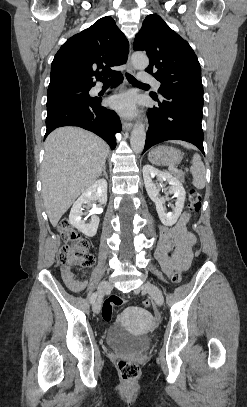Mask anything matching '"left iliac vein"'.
I'll return each mask as SVG.
<instances>
[{"label":"left iliac vein","mask_w":247,"mask_h":407,"mask_svg":"<svg viewBox=\"0 0 247 407\" xmlns=\"http://www.w3.org/2000/svg\"><path fill=\"white\" fill-rule=\"evenodd\" d=\"M140 289L144 293H149L158 306L163 304L164 298L160 289L153 283L146 282L141 285Z\"/></svg>","instance_id":"1"}]
</instances>
